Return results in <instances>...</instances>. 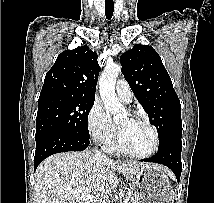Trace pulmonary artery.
Listing matches in <instances>:
<instances>
[{
	"instance_id": "pulmonary-artery-1",
	"label": "pulmonary artery",
	"mask_w": 214,
	"mask_h": 203,
	"mask_svg": "<svg viewBox=\"0 0 214 203\" xmlns=\"http://www.w3.org/2000/svg\"><path fill=\"white\" fill-rule=\"evenodd\" d=\"M115 88H116V92H117L119 98L123 102H126V103L131 102L132 93H131L128 83L125 80H123V79L118 80L116 82Z\"/></svg>"
}]
</instances>
